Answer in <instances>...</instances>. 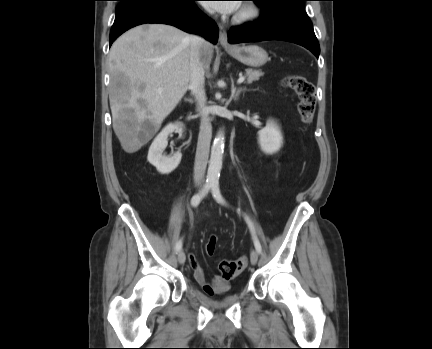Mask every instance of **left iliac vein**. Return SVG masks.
<instances>
[{
    "label": "left iliac vein",
    "mask_w": 432,
    "mask_h": 349,
    "mask_svg": "<svg viewBox=\"0 0 432 349\" xmlns=\"http://www.w3.org/2000/svg\"><path fill=\"white\" fill-rule=\"evenodd\" d=\"M250 261L253 265L258 262V253L256 250H252L250 253Z\"/></svg>",
    "instance_id": "1"
}]
</instances>
